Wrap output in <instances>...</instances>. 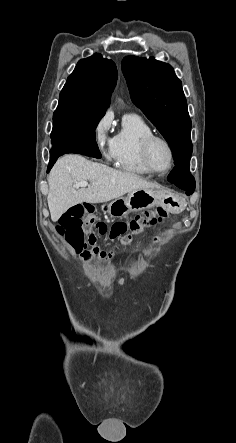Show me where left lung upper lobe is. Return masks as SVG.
I'll return each instance as SVG.
<instances>
[{
	"label": "left lung upper lobe",
	"instance_id": "left-lung-upper-lobe-1",
	"mask_svg": "<svg viewBox=\"0 0 236 443\" xmlns=\"http://www.w3.org/2000/svg\"><path fill=\"white\" fill-rule=\"evenodd\" d=\"M131 99L172 148L175 165L190 161L191 119L182 83L173 68L153 57L127 56L122 61Z\"/></svg>",
	"mask_w": 236,
	"mask_h": 443
}]
</instances>
